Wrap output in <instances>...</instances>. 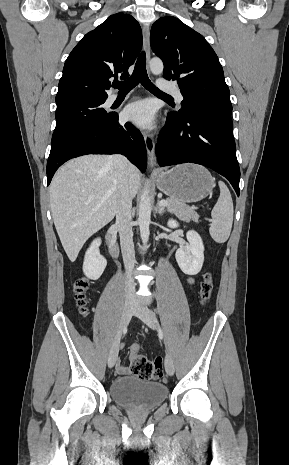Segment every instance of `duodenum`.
I'll list each match as a JSON object with an SVG mask.
<instances>
[{"label": "duodenum", "mask_w": 289, "mask_h": 465, "mask_svg": "<svg viewBox=\"0 0 289 465\" xmlns=\"http://www.w3.org/2000/svg\"><path fill=\"white\" fill-rule=\"evenodd\" d=\"M106 243L112 257L117 258L119 255V246L115 234L112 231L107 232Z\"/></svg>", "instance_id": "obj_1"}]
</instances>
